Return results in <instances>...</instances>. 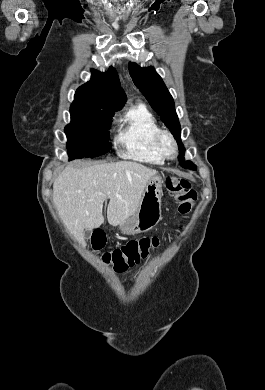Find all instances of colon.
Masks as SVG:
<instances>
[{
  "label": "colon",
  "instance_id": "obj_1",
  "mask_svg": "<svg viewBox=\"0 0 265 390\" xmlns=\"http://www.w3.org/2000/svg\"><path fill=\"white\" fill-rule=\"evenodd\" d=\"M166 188L175 196L179 203V212L188 214L192 210L197 198V193L192 184L187 179L171 176L166 180ZM105 242V235L102 232L97 231L93 233L91 245L95 251L103 249ZM159 244L160 239L156 236L143 237L129 241L125 245L111 251L104 252L100 257L115 272L121 273L147 258L150 252L156 249Z\"/></svg>",
  "mask_w": 265,
  "mask_h": 390
}]
</instances>
